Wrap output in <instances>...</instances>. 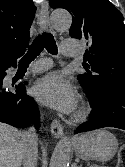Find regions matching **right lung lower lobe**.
<instances>
[{
  "label": "right lung lower lobe",
  "mask_w": 125,
  "mask_h": 167,
  "mask_svg": "<svg viewBox=\"0 0 125 167\" xmlns=\"http://www.w3.org/2000/svg\"><path fill=\"white\" fill-rule=\"evenodd\" d=\"M11 66H16V60L0 67V122L19 128L34 124L38 129L39 110L36 102L26 94L25 85L19 84L13 88L3 85L5 71Z\"/></svg>",
  "instance_id": "obj_1"
}]
</instances>
